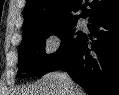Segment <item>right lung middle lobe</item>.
Instances as JSON below:
<instances>
[{"label": "right lung middle lobe", "instance_id": "1", "mask_svg": "<svg viewBox=\"0 0 119 95\" xmlns=\"http://www.w3.org/2000/svg\"><path fill=\"white\" fill-rule=\"evenodd\" d=\"M77 22L51 23L33 28L23 34L18 48V70L29 76H42L68 53L84 34L75 32ZM62 39L59 49L50 55L45 53V40L50 35Z\"/></svg>", "mask_w": 119, "mask_h": 95}]
</instances>
